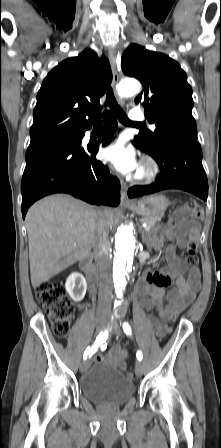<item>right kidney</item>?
I'll use <instances>...</instances> for the list:
<instances>
[{
  "label": "right kidney",
  "instance_id": "1",
  "mask_svg": "<svg viewBox=\"0 0 221 448\" xmlns=\"http://www.w3.org/2000/svg\"><path fill=\"white\" fill-rule=\"evenodd\" d=\"M65 289L73 301H81L87 290V283L84 276L79 272L70 274L66 280Z\"/></svg>",
  "mask_w": 221,
  "mask_h": 448
}]
</instances>
